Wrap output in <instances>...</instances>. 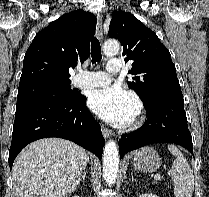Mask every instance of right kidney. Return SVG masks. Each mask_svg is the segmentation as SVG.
<instances>
[{
    "label": "right kidney",
    "mask_w": 209,
    "mask_h": 197,
    "mask_svg": "<svg viewBox=\"0 0 209 197\" xmlns=\"http://www.w3.org/2000/svg\"><path fill=\"white\" fill-rule=\"evenodd\" d=\"M73 197H80V196H78V195H75V196H73Z\"/></svg>",
    "instance_id": "obj_1"
}]
</instances>
